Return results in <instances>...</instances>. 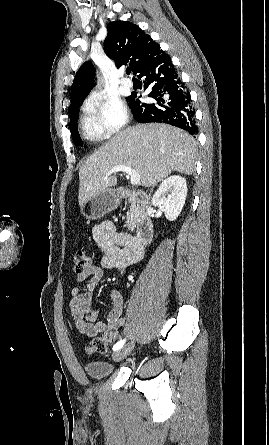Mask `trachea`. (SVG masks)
<instances>
[{"instance_id": "obj_1", "label": "trachea", "mask_w": 269, "mask_h": 445, "mask_svg": "<svg viewBox=\"0 0 269 445\" xmlns=\"http://www.w3.org/2000/svg\"><path fill=\"white\" fill-rule=\"evenodd\" d=\"M126 73H127V75H129L131 73V69L129 67L126 69Z\"/></svg>"}]
</instances>
